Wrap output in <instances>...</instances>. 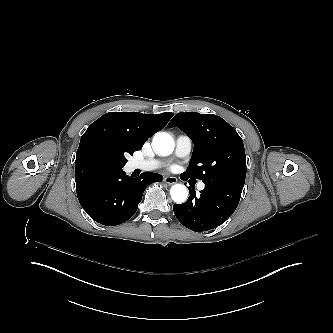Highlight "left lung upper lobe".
<instances>
[{"instance_id": "1", "label": "left lung upper lobe", "mask_w": 333, "mask_h": 333, "mask_svg": "<svg viewBox=\"0 0 333 333\" xmlns=\"http://www.w3.org/2000/svg\"><path fill=\"white\" fill-rule=\"evenodd\" d=\"M168 127H178L194 143L190 165L182 175L204 183L217 180L245 183L243 141L223 118L196 112L178 113Z\"/></svg>"}]
</instances>
